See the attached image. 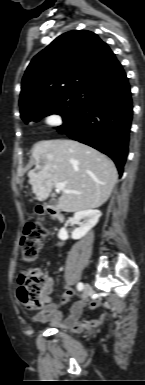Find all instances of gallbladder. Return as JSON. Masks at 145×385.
Segmentation results:
<instances>
[{"instance_id":"1","label":"gallbladder","mask_w":145,"mask_h":385,"mask_svg":"<svg viewBox=\"0 0 145 385\" xmlns=\"http://www.w3.org/2000/svg\"><path fill=\"white\" fill-rule=\"evenodd\" d=\"M50 204H51L52 206L57 205V200H56V199L51 200V201H50Z\"/></svg>"}]
</instances>
